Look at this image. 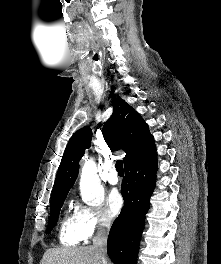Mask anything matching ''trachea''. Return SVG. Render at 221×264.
Wrapping results in <instances>:
<instances>
[{"instance_id":"3493384b","label":"trachea","mask_w":221,"mask_h":264,"mask_svg":"<svg viewBox=\"0 0 221 264\" xmlns=\"http://www.w3.org/2000/svg\"><path fill=\"white\" fill-rule=\"evenodd\" d=\"M115 167H116V170H117V172H118L119 175H123L124 174L122 160H118L117 163H116V165H115Z\"/></svg>"}]
</instances>
